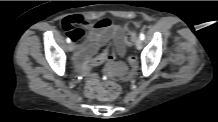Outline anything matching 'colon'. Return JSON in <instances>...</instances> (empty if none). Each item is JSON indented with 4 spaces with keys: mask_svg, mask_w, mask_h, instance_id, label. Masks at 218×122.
Instances as JSON below:
<instances>
[{
    "mask_svg": "<svg viewBox=\"0 0 218 122\" xmlns=\"http://www.w3.org/2000/svg\"><path fill=\"white\" fill-rule=\"evenodd\" d=\"M67 30H71L69 26L66 27ZM136 30L137 26L131 24L129 26L128 34L126 36V42L128 45H132L136 40ZM106 45L103 50H101L97 55H92L84 61L81 67L77 68V75L79 78H86L88 74L97 70L98 65L111 64L118 60V55L113 46L115 45V40L113 38H108L106 40ZM129 64L132 71L137 69V61L135 57L130 56L128 58ZM85 92L89 97L99 98L102 100H112L117 98L121 93V87L115 82H101L100 79L94 75H91L86 87Z\"/></svg>",
    "mask_w": 218,
    "mask_h": 122,
    "instance_id": "1",
    "label": "colon"
}]
</instances>
